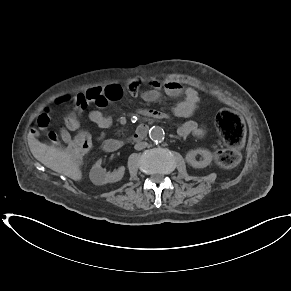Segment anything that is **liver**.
I'll return each instance as SVG.
<instances>
[{"mask_svg":"<svg viewBox=\"0 0 291 291\" xmlns=\"http://www.w3.org/2000/svg\"><path fill=\"white\" fill-rule=\"evenodd\" d=\"M28 144L33 156L51 170L63 174L75 181L82 179V171L74 154L57 145H47L35 138H29Z\"/></svg>","mask_w":291,"mask_h":291,"instance_id":"obj_1","label":"liver"}]
</instances>
